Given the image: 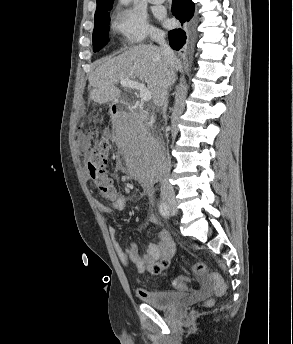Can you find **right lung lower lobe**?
<instances>
[{"label":"right lung lower lobe","instance_id":"98d812e1","mask_svg":"<svg viewBox=\"0 0 293 344\" xmlns=\"http://www.w3.org/2000/svg\"><path fill=\"white\" fill-rule=\"evenodd\" d=\"M172 13L181 23L189 22L194 15V3L192 0H173ZM170 46L180 50L186 42V32L182 29L169 31Z\"/></svg>","mask_w":293,"mask_h":344}]
</instances>
